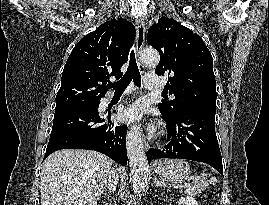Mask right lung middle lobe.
Wrapping results in <instances>:
<instances>
[{"mask_svg": "<svg viewBox=\"0 0 269 205\" xmlns=\"http://www.w3.org/2000/svg\"><path fill=\"white\" fill-rule=\"evenodd\" d=\"M99 104H100V102H94V103L69 106V107H65V108H61V109H73V108H94V109H97L99 107ZM61 109H56V110H61Z\"/></svg>", "mask_w": 269, "mask_h": 205, "instance_id": "1", "label": "right lung middle lobe"}]
</instances>
